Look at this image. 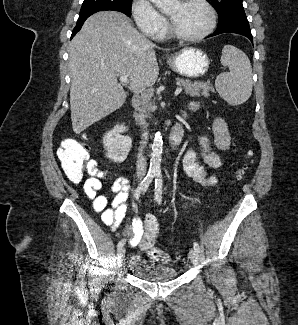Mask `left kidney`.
I'll use <instances>...</instances> for the list:
<instances>
[{"label":"left kidney","instance_id":"obj_1","mask_svg":"<svg viewBox=\"0 0 298 325\" xmlns=\"http://www.w3.org/2000/svg\"><path fill=\"white\" fill-rule=\"evenodd\" d=\"M199 142H200V144H203V146H208V144H209L208 138H205V136H200Z\"/></svg>","mask_w":298,"mask_h":325}]
</instances>
